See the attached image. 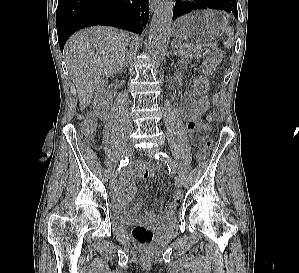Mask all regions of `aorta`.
I'll return each mask as SVG.
<instances>
[{"label": "aorta", "instance_id": "1", "mask_svg": "<svg viewBox=\"0 0 299 273\" xmlns=\"http://www.w3.org/2000/svg\"><path fill=\"white\" fill-rule=\"evenodd\" d=\"M174 3L171 0H160L152 17L148 54L159 57L163 54L170 35Z\"/></svg>", "mask_w": 299, "mask_h": 273}]
</instances>
